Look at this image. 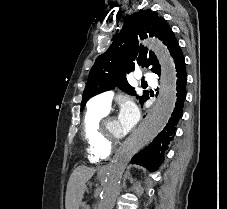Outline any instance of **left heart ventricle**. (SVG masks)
I'll return each instance as SVG.
<instances>
[{
	"label": "left heart ventricle",
	"mask_w": 227,
	"mask_h": 209,
	"mask_svg": "<svg viewBox=\"0 0 227 209\" xmlns=\"http://www.w3.org/2000/svg\"><path fill=\"white\" fill-rule=\"evenodd\" d=\"M105 133L111 139L125 138L127 135V132L119 124L118 119L107 123Z\"/></svg>",
	"instance_id": "b2bd125f"
}]
</instances>
